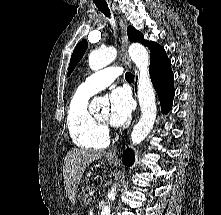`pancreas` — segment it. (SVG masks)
I'll return each instance as SVG.
<instances>
[{
  "label": "pancreas",
  "instance_id": "obj_1",
  "mask_svg": "<svg viewBox=\"0 0 221 215\" xmlns=\"http://www.w3.org/2000/svg\"><path fill=\"white\" fill-rule=\"evenodd\" d=\"M93 189V185L92 184H87L83 190L82 193L80 195V202L87 205L89 204V195L88 192L91 191Z\"/></svg>",
  "mask_w": 221,
  "mask_h": 215
}]
</instances>
